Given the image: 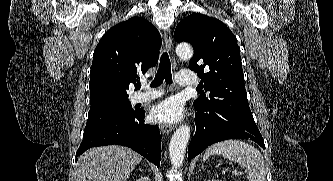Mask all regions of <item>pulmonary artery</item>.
<instances>
[{"label": "pulmonary artery", "instance_id": "1", "mask_svg": "<svg viewBox=\"0 0 333 181\" xmlns=\"http://www.w3.org/2000/svg\"><path fill=\"white\" fill-rule=\"evenodd\" d=\"M176 82L180 86H190L196 84V79L191 72H178L176 75ZM163 94L160 90H150L143 93H137L133 97V102L140 103L155 99Z\"/></svg>", "mask_w": 333, "mask_h": 181}]
</instances>
